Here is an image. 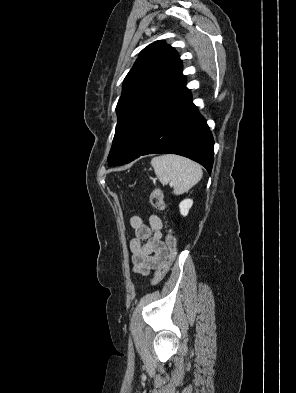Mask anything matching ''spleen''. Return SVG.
Here are the masks:
<instances>
[{
  "label": "spleen",
  "mask_w": 296,
  "mask_h": 393,
  "mask_svg": "<svg viewBox=\"0 0 296 393\" xmlns=\"http://www.w3.org/2000/svg\"><path fill=\"white\" fill-rule=\"evenodd\" d=\"M151 165L162 185H173L175 195L189 191L203 175L199 164L173 154L154 157Z\"/></svg>",
  "instance_id": "3e777b00"
}]
</instances>
